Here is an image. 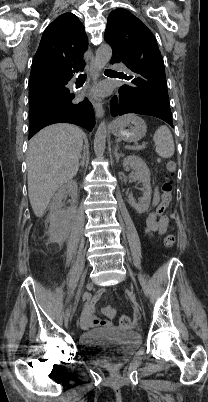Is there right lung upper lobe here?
<instances>
[{"label": "right lung upper lobe", "instance_id": "right-lung-upper-lobe-1", "mask_svg": "<svg viewBox=\"0 0 208 402\" xmlns=\"http://www.w3.org/2000/svg\"><path fill=\"white\" fill-rule=\"evenodd\" d=\"M87 47L88 38L78 17L72 13L60 15L43 32L32 61L30 80L52 77L70 80L84 65Z\"/></svg>", "mask_w": 208, "mask_h": 402}]
</instances>
